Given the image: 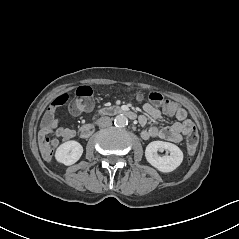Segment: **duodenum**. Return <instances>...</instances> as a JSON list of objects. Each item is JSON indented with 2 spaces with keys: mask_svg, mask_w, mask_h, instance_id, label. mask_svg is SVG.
Returning <instances> with one entry per match:
<instances>
[{
  "mask_svg": "<svg viewBox=\"0 0 239 239\" xmlns=\"http://www.w3.org/2000/svg\"><path fill=\"white\" fill-rule=\"evenodd\" d=\"M100 114L101 115L124 114L130 119L136 118V114L133 111L121 108L119 106L104 108L103 110L100 111ZM93 132H94V124L93 123L84 124L79 129V134L82 138H87V137L91 136V134Z\"/></svg>",
  "mask_w": 239,
  "mask_h": 239,
  "instance_id": "obj_1",
  "label": "duodenum"
}]
</instances>
